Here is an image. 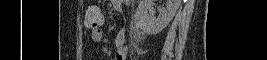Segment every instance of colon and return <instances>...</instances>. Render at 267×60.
Listing matches in <instances>:
<instances>
[{
    "mask_svg": "<svg viewBox=\"0 0 267 60\" xmlns=\"http://www.w3.org/2000/svg\"><path fill=\"white\" fill-rule=\"evenodd\" d=\"M85 25L88 28H97L102 23V14L97 6H89L85 11Z\"/></svg>",
    "mask_w": 267,
    "mask_h": 60,
    "instance_id": "1",
    "label": "colon"
}]
</instances>
